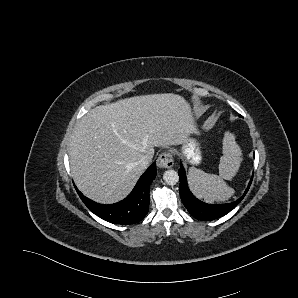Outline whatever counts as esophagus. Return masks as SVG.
<instances>
[{
	"label": "esophagus",
	"instance_id": "esophagus-1",
	"mask_svg": "<svg viewBox=\"0 0 298 298\" xmlns=\"http://www.w3.org/2000/svg\"><path fill=\"white\" fill-rule=\"evenodd\" d=\"M174 165L173 156L170 152H163L157 158V166L159 168H171Z\"/></svg>",
	"mask_w": 298,
	"mask_h": 298
}]
</instances>
